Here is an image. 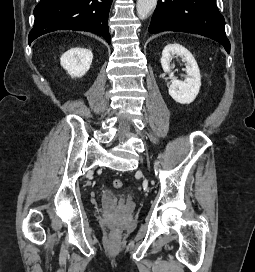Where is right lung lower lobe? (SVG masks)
Wrapping results in <instances>:
<instances>
[{"instance_id":"98d812e1","label":"right lung lower lobe","mask_w":255,"mask_h":272,"mask_svg":"<svg viewBox=\"0 0 255 272\" xmlns=\"http://www.w3.org/2000/svg\"><path fill=\"white\" fill-rule=\"evenodd\" d=\"M111 3L112 0H41L34 9L35 22L29 33V44L56 30L93 32L110 44L108 15Z\"/></svg>"}]
</instances>
